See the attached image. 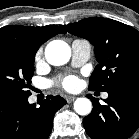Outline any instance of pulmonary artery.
I'll use <instances>...</instances> for the list:
<instances>
[{
    "mask_svg": "<svg viewBox=\"0 0 139 139\" xmlns=\"http://www.w3.org/2000/svg\"><path fill=\"white\" fill-rule=\"evenodd\" d=\"M72 65L75 67L81 66L86 63L90 57L91 44L84 39H76L72 42ZM103 98H107L108 94L103 93Z\"/></svg>",
    "mask_w": 139,
    "mask_h": 139,
    "instance_id": "pulmonary-artery-1",
    "label": "pulmonary artery"
}]
</instances>
